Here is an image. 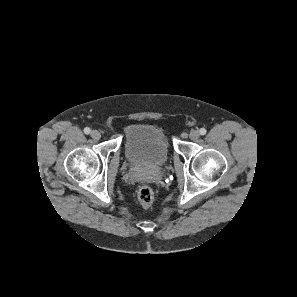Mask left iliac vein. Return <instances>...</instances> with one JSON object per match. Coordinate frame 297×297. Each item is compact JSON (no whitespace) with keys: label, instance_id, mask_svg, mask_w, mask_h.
Returning <instances> with one entry per match:
<instances>
[{"label":"left iliac vein","instance_id":"obj_1","mask_svg":"<svg viewBox=\"0 0 297 297\" xmlns=\"http://www.w3.org/2000/svg\"><path fill=\"white\" fill-rule=\"evenodd\" d=\"M191 140L195 141L199 138V132L197 130H192L189 134Z\"/></svg>","mask_w":297,"mask_h":297}]
</instances>
